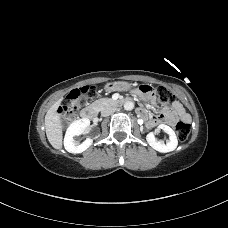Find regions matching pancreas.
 <instances>
[{
    "mask_svg": "<svg viewBox=\"0 0 228 228\" xmlns=\"http://www.w3.org/2000/svg\"><path fill=\"white\" fill-rule=\"evenodd\" d=\"M110 103H112L111 99L101 98V99L94 101L91 104V107L95 108L96 110L102 111L105 108V106L109 105Z\"/></svg>",
    "mask_w": 228,
    "mask_h": 228,
    "instance_id": "pancreas-1",
    "label": "pancreas"
}]
</instances>
